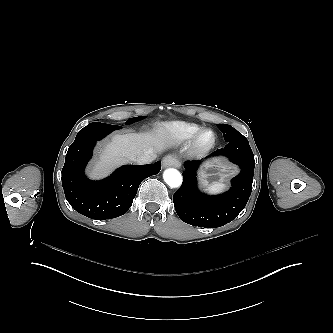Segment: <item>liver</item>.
Returning <instances> with one entry per match:
<instances>
[{
  "label": "liver",
  "mask_w": 333,
  "mask_h": 333,
  "mask_svg": "<svg viewBox=\"0 0 333 333\" xmlns=\"http://www.w3.org/2000/svg\"><path fill=\"white\" fill-rule=\"evenodd\" d=\"M167 142V135L163 130H154L153 135H115L101 150V161L91 170L93 175L105 173L111 166L122 162H135L137 156L148 150L158 151Z\"/></svg>",
  "instance_id": "obj_1"
}]
</instances>
